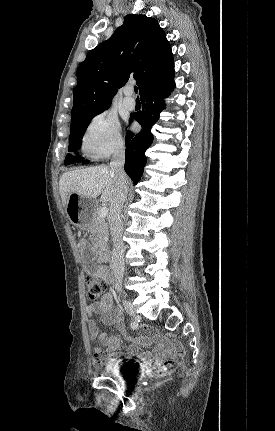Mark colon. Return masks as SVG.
<instances>
[{
  "mask_svg": "<svg viewBox=\"0 0 275 431\" xmlns=\"http://www.w3.org/2000/svg\"><path fill=\"white\" fill-rule=\"evenodd\" d=\"M86 286H87V295L88 298L92 301L97 300L104 292L105 284L101 278L96 276L93 273L86 275L85 277ZM166 368H157L155 370L156 374H162L166 372Z\"/></svg>",
  "mask_w": 275,
  "mask_h": 431,
  "instance_id": "1",
  "label": "colon"
}]
</instances>
